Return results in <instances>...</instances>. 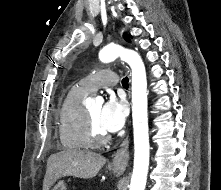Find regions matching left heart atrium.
Here are the masks:
<instances>
[{"instance_id":"1","label":"left heart atrium","mask_w":221,"mask_h":190,"mask_svg":"<svg viewBox=\"0 0 221 190\" xmlns=\"http://www.w3.org/2000/svg\"><path fill=\"white\" fill-rule=\"evenodd\" d=\"M125 118V103L118 101L114 97H110L101 109L100 127L106 133L117 132L123 127Z\"/></svg>"}]
</instances>
